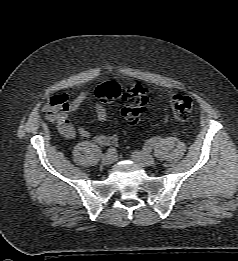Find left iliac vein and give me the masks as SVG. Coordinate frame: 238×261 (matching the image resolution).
Returning a JSON list of instances; mask_svg holds the SVG:
<instances>
[{"mask_svg":"<svg viewBox=\"0 0 238 261\" xmlns=\"http://www.w3.org/2000/svg\"><path fill=\"white\" fill-rule=\"evenodd\" d=\"M132 159L143 167L151 166L155 162L151 154L143 151H134L132 153Z\"/></svg>","mask_w":238,"mask_h":261,"instance_id":"obj_1","label":"left iliac vein"}]
</instances>
